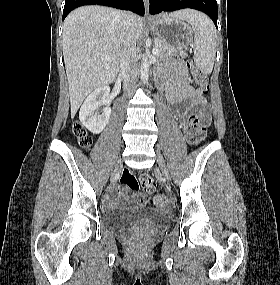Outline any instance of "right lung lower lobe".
Masks as SVG:
<instances>
[{"label": "right lung lower lobe", "mask_w": 280, "mask_h": 285, "mask_svg": "<svg viewBox=\"0 0 280 285\" xmlns=\"http://www.w3.org/2000/svg\"><path fill=\"white\" fill-rule=\"evenodd\" d=\"M83 5H104L131 10L139 15H144L143 0H65L63 20L73 9Z\"/></svg>", "instance_id": "98d812e1"}]
</instances>
